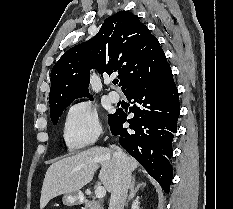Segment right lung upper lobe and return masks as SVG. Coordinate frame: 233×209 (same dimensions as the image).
<instances>
[{
	"instance_id": "right-lung-upper-lobe-1",
	"label": "right lung upper lobe",
	"mask_w": 233,
	"mask_h": 209,
	"mask_svg": "<svg viewBox=\"0 0 233 209\" xmlns=\"http://www.w3.org/2000/svg\"><path fill=\"white\" fill-rule=\"evenodd\" d=\"M168 65L149 29L136 15L108 17L92 39L65 52L51 71L50 112L88 95L90 69L118 73L124 94L152 80ZM92 100L93 97L89 96Z\"/></svg>"
}]
</instances>
